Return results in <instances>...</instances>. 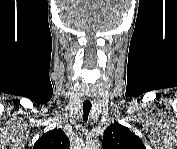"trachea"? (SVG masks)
<instances>
[{
	"label": "trachea",
	"instance_id": "trachea-1",
	"mask_svg": "<svg viewBox=\"0 0 177 149\" xmlns=\"http://www.w3.org/2000/svg\"><path fill=\"white\" fill-rule=\"evenodd\" d=\"M91 107H92L91 102L83 103V120L84 121L88 120V116H89V112L91 110Z\"/></svg>",
	"mask_w": 177,
	"mask_h": 149
}]
</instances>
